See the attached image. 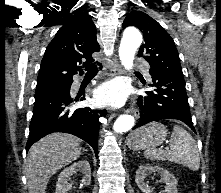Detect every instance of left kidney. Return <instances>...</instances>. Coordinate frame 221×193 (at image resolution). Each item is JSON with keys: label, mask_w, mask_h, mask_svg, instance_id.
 Returning a JSON list of instances; mask_svg holds the SVG:
<instances>
[{"label": "left kidney", "mask_w": 221, "mask_h": 193, "mask_svg": "<svg viewBox=\"0 0 221 193\" xmlns=\"http://www.w3.org/2000/svg\"><path fill=\"white\" fill-rule=\"evenodd\" d=\"M152 172L158 173L161 176V182L166 184L164 193H178L176 178L164 168L150 165L140 166L136 171L135 182L142 192L152 193V189L145 182L147 174Z\"/></svg>", "instance_id": "5707ae66"}]
</instances>
